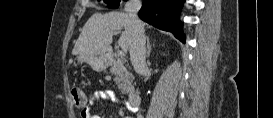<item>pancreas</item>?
I'll list each match as a JSON object with an SVG mask.
<instances>
[{"instance_id": "cf45deb5", "label": "pancreas", "mask_w": 273, "mask_h": 118, "mask_svg": "<svg viewBox=\"0 0 273 118\" xmlns=\"http://www.w3.org/2000/svg\"><path fill=\"white\" fill-rule=\"evenodd\" d=\"M110 72L115 76L114 81L118 85L122 94H128L133 91V78L131 73L124 67L123 61L116 57L111 66Z\"/></svg>"}]
</instances>
